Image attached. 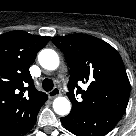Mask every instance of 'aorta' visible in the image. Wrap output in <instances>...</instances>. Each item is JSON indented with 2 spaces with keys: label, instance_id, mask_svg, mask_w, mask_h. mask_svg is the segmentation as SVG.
<instances>
[{
  "label": "aorta",
  "instance_id": "aorta-1",
  "mask_svg": "<svg viewBox=\"0 0 136 136\" xmlns=\"http://www.w3.org/2000/svg\"><path fill=\"white\" fill-rule=\"evenodd\" d=\"M40 65L47 70H55L59 66V56L52 49H43L38 55ZM54 111L61 116L69 114L71 110L70 101L66 97H57L53 101Z\"/></svg>",
  "mask_w": 136,
  "mask_h": 136
}]
</instances>
